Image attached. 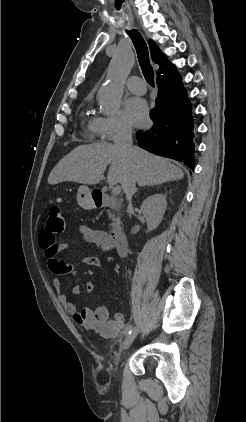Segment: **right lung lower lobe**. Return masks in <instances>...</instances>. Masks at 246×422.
Instances as JSON below:
<instances>
[{
    "mask_svg": "<svg viewBox=\"0 0 246 422\" xmlns=\"http://www.w3.org/2000/svg\"><path fill=\"white\" fill-rule=\"evenodd\" d=\"M158 96L150 111L153 127L138 131V145L157 155L183 162L194 169V123L192 107L181 77L157 80Z\"/></svg>",
    "mask_w": 246,
    "mask_h": 422,
    "instance_id": "right-lung-lower-lobe-1",
    "label": "right lung lower lobe"
}]
</instances>
